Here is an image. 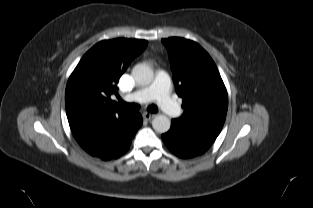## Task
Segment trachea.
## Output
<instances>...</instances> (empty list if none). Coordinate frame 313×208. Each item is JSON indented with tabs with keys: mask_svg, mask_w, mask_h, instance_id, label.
<instances>
[{
	"mask_svg": "<svg viewBox=\"0 0 313 208\" xmlns=\"http://www.w3.org/2000/svg\"><path fill=\"white\" fill-rule=\"evenodd\" d=\"M119 104L128 108V109H131V110H138L139 109V105L138 104H135V103H127V102H124L123 100L119 99ZM147 110L151 113H156L158 111L157 107L155 105H150Z\"/></svg>",
	"mask_w": 313,
	"mask_h": 208,
	"instance_id": "3493384b",
	"label": "trachea"
}]
</instances>
